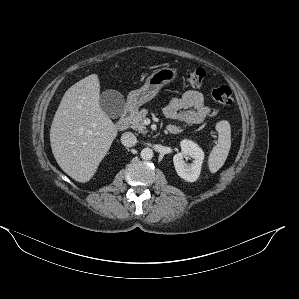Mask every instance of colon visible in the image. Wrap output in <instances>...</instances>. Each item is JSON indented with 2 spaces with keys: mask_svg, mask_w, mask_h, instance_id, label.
<instances>
[{
  "mask_svg": "<svg viewBox=\"0 0 299 299\" xmlns=\"http://www.w3.org/2000/svg\"><path fill=\"white\" fill-rule=\"evenodd\" d=\"M205 70L202 68H197L194 70H191L187 74V81L190 85L194 87H199L203 84V81L205 79ZM212 96L215 101L222 105H230L233 101V93L229 86L222 85L217 88H215L212 91Z\"/></svg>",
  "mask_w": 299,
  "mask_h": 299,
  "instance_id": "colon-1",
  "label": "colon"
}]
</instances>
